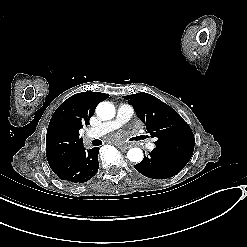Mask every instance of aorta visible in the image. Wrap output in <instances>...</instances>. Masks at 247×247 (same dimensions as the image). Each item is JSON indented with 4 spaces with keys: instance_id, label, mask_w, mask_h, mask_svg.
<instances>
[{
    "instance_id": "1",
    "label": "aorta",
    "mask_w": 247,
    "mask_h": 247,
    "mask_svg": "<svg viewBox=\"0 0 247 247\" xmlns=\"http://www.w3.org/2000/svg\"><path fill=\"white\" fill-rule=\"evenodd\" d=\"M115 113V107L110 102H101L96 107V114L103 121L112 119ZM127 158L131 162L139 163L143 160V152L140 148H131L127 153Z\"/></svg>"
}]
</instances>
